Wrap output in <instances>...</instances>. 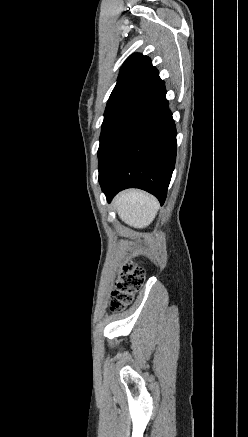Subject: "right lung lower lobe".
<instances>
[{"instance_id": "98d812e1", "label": "right lung lower lobe", "mask_w": 248, "mask_h": 437, "mask_svg": "<svg viewBox=\"0 0 248 437\" xmlns=\"http://www.w3.org/2000/svg\"><path fill=\"white\" fill-rule=\"evenodd\" d=\"M176 127L158 77L136 98L99 158V182L107 201L140 188L164 203L176 159Z\"/></svg>"}]
</instances>
